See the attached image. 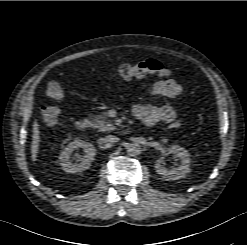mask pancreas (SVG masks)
Instances as JSON below:
<instances>
[{
  "label": "pancreas",
  "instance_id": "1",
  "mask_svg": "<svg viewBox=\"0 0 247 245\" xmlns=\"http://www.w3.org/2000/svg\"><path fill=\"white\" fill-rule=\"evenodd\" d=\"M92 127L98 129L101 132L112 131L115 129L111 120L108 119L106 113L95 115L92 118Z\"/></svg>",
  "mask_w": 247,
  "mask_h": 245
}]
</instances>
